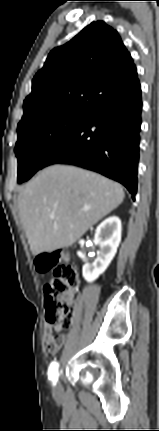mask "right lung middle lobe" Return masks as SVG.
<instances>
[{"mask_svg":"<svg viewBox=\"0 0 159 431\" xmlns=\"http://www.w3.org/2000/svg\"><path fill=\"white\" fill-rule=\"evenodd\" d=\"M87 116L88 113L83 112H60L18 129L15 146L18 183L28 180L41 169L48 153Z\"/></svg>","mask_w":159,"mask_h":431,"instance_id":"obj_1","label":"right lung middle lobe"}]
</instances>
